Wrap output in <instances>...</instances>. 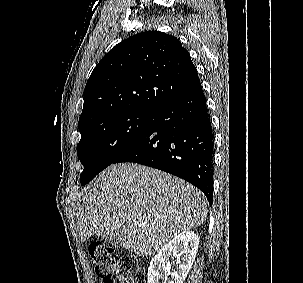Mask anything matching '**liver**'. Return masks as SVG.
Wrapping results in <instances>:
<instances>
[{
  "mask_svg": "<svg viewBox=\"0 0 303 283\" xmlns=\"http://www.w3.org/2000/svg\"><path fill=\"white\" fill-rule=\"evenodd\" d=\"M75 225L81 242L120 232L135 254L158 252L173 236L203 224L207 199L191 184L134 163L114 164L76 193Z\"/></svg>",
  "mask_w": 303,
  "mask_h": 283,
  "instance_id": "6515ba94",
  "label": "liver"
}]
</instances>
